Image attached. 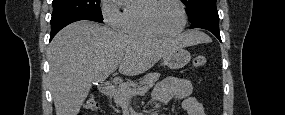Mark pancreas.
<instances>
[{
    "label": "pancreas",
    "instance_id": "cf45deb5",
    "mask_svg": "<svg viewBox=\"0 0 285 115\" xmlns=\"http://www.w3.org/2000/svg\"><path fill=\"white\" fill-rule=\"evenodd\" d=\"M159 77H160L159 73L147 74L143 79L140 80V85H144L147 88H150L159 79ZM137 86L138 83L134 81L120 83L112 94L116 105L123 106L127 98L131 96L134 92H136Z\"/></svg>",
    "mask_w": 285,
    "mask_h": 115
}]
</instances>
